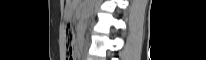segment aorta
<instances>
[{
	"label": "aorta",
	"instance_id": "aorta-1",
	"mask_svg": "<svg viewBox=\"0 0 206 60\" xmlns=\"http://www.w3.org/2000/svg\"><path fill=\"white\" fill-rule=\"evenodd\" d=\"M95 6V0H87L86 8H85V23L84 28L87 27L88 20L90 18V15L93 12Z\"/></svg>",
	"mask_w": 206,
	"mask_h": 60
}]
</instances>
